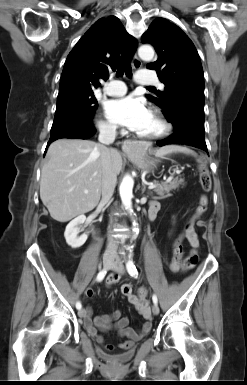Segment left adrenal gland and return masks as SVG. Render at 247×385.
<instances>
[{
  "label": "left adrenal gland",
  "mask_w": 247,
  "mask_h": 385,
  "mask_svg": "<svg viewBox=\"0 0 247 385\" xmlns=\"http://www.w3.org/2000/svg\"><path fill=\"white\" fill-rule=\"evenodd\" d=\"M145 189H146V185H145V183H144V182H142V194H144V192H145Z\"/></svg>",
  "instance_id": "1"
}]
</instances>
